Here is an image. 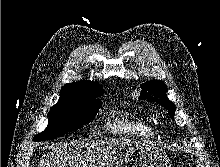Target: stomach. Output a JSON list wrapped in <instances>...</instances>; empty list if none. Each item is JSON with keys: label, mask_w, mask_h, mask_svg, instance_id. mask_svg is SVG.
Returning <instances> with one entry per match:
<instances>
[{"label": "stomach", "mask_w": 220, "mask_h": 167, "mask_svg": "<svg viewBox=\"0 0 220 167\" xmlns=\"http://www.w3.org/2000/svg\"><path fill=\"white\" fill-rule=\"evenodd\" d=\"M113 167H171L168 156L151 142L126 145Z\"/></svg>", "instance_id": "stomach-1"}]
</instances>
